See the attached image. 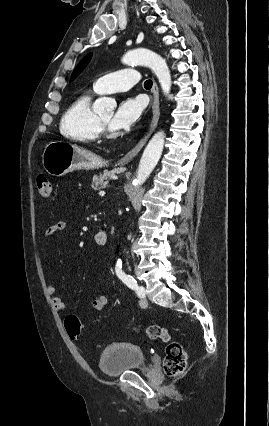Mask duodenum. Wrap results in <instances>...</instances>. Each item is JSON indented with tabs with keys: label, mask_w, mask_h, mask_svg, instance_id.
Returning <instances> with one entry per match:
<instances>
[{
	"label": "duodenum",
	"mask_w": 269,
	"mask_h": 426,
	"mask_svg": "<svg viewBox=\"0 0 269 426\" xmlns=\"http://www.w3.org/2000/svg\"><path fill=\"white\" fill-rule=\"evenodd\" d=\"M108 238H109L108 233L105 230L99 231L95 235V241L100 246L106 245L108 242Z\"/></svg>",
	"instance_id": "obj_1"
}]
</instances>
